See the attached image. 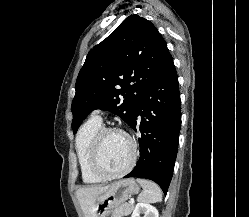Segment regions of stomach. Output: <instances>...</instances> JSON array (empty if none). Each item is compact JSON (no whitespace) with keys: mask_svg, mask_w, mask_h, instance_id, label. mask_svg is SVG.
<instances>
[{"mask_svg":"<svg viewBox=\"0 0 249 217\" xmlns=\"http://www.w3.org/2000/svg\"><path fill=\"white\" fill-rule=\"evenodd\" d=\"M139 192V186L133 178L121 179L113 182L109 189L96 199L97 217L111 214L115 208L124 204L133 194Z\"/></svg>","mask_w":249,"mask_h":217,"instance_id":"obj_1","label":"stomach"}]
</instances>
